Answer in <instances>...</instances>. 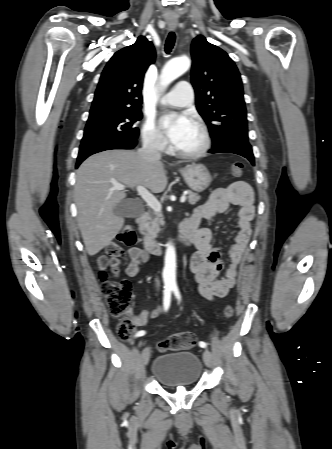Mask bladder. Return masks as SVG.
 I'll return each mask as SVG.
<instances>
[{
	"label": "bladder",
	"instance_id": "bladder-1",
	"mask_svg": "<svg viewBox=\"0 0 332 449\" xmlns=\"http://www.w3.org/2000/svg\"><path fill=\"white\" fill-rule=\"evenodd\" d=\"M203 366L193 352L178 351L157 356L152 365V376L165 387L196 385L202 375Z\"/></svg>",
	"mask_w": 332,
	"mask_h": 449
}]
</instances>
